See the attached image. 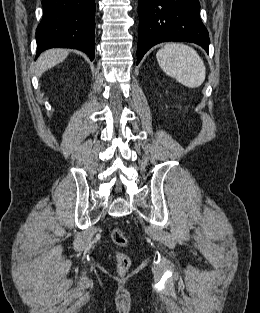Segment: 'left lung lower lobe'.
I'll use <instances>...</instances> for the list:
<instances>
[{
  "label": "left lung lower lobe",
  "instance_id": "1",
  "mask_svg": "<svg viewBox=\"0 0 260 313\" xmlns=\"http://www.w3.org/2000/svg\"><path fill=\"white\" fill-rule=\"evenodd\" d=\"M198 0H139L137 64L155 44L192 42L208 52V31L199 18Z\"/></svg>",
  "mask_w": 260,
  "mask_h": 313
}]
</instances>
